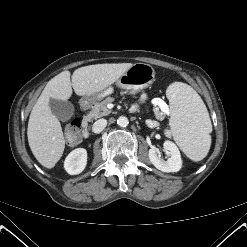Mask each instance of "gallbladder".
Returning <instances> with one entry per match:
<instances>
[{"instance_id":"gallbladder-1","label":"gallbladder","mask_w":247,"mask_h":247,"mask_svg":"<svg viewBox=\"0 0 247 247\" xmlns=\"http://www.w3.org/2000/svg\"><path fill=\"white\" fill-rule=\"evenodd\" d=\"M49 107L51 112L61 121H69L74 115V106L68 101L50 99Z\"/></svg>"}]
</instances>
